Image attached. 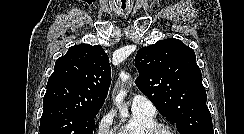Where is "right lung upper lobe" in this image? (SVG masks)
<instances>
[{
	"instance_id": "1",
	"label": "right lung upper lobe",
	"mask_w": 244,
	"mask_h": 134,
	"mask_svg": "<svg viewBox=\"0 0 244 134\" xmlns=\"http://www.w3.org/2000/svg\"><path fill=\"white\" fill-rule=\"evenodd\" d=\"M111 82L108 55L100 45H75L58 58L43 105L62 103L88 112L102 107Z\"/></svg>"
}]
</instances>
